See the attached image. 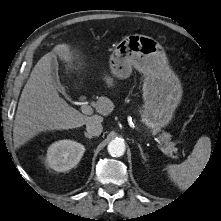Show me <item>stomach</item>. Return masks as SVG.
Returning <instances> with one entry per match:
<instances>
[{
    "mask_svg": "<svg viewBox=\"0 0 221 221\" xmlns=\"http://www.w3.org/2000/svg\"><path fill=\"white\" fill-rule=\"evenodd\" d=\"M132 68L144 74L143 122L159 131L173 119L182 98L179 78L171 70L163 47L145 35H129L120 41L110 56V69L119 79L130 76Z\"/></svg>",
    "mask_w": 221,
    "mask_h": 221,
    "instance_id": "0dacf381",
    "label": "stomach"
}]
</instances>
